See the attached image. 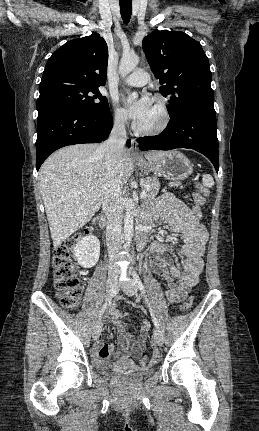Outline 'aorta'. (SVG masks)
<instances>
[{
    "label": "aorta",
    "instance_id": "obj_1",
    "mask_svg": "<svg viewBox=\"0 0 259 431\" xmlns=\"http://www.w3.org/2000/svg\"><path fill=\"white\" fill-rule=\"evenodd\" d=\"M138 63L139 57L137 55L124 54L119 64V74L122 77H126L136 68ZM137 97L138 94L136 92H133L132 94H129L128 100L131 102L132 100L137 99ZM133 222V212L131 209H128L124 217V238L127 247H129L132 242Z\"/></svg>",
    "mask_w": 259,
    "mask_h": 431
}]
</instances>
